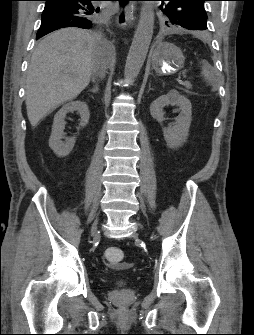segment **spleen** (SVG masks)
Instances as JSON below:
<instances>
[{"label": "spleen", "mask_w": 254, "mask_h": 335, "mask_svg": "<svg viewBox=\"0 0 254 335\" xmlns=\"http://www.w3.org/2000/svg\"><path fill=\"white\" fill-rule=\"evenodd\" d=\"M201 75L204 77L205 81L208 83L212 82V73L210 67L207 63H203Z\"/></svg>", "instance_id": "spleen-1"}]
</instances>
